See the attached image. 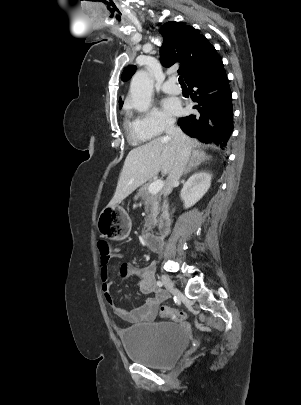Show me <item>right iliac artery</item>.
Returning a JSON list of instances; mask_svg holds the SVG:
<instances>
[{"label":"right iliac artery","instance_id":"right-iliac-artery-1","mask_svg":"<svg viewBox=\"0 0 301 405\" xmlns=\"http://www.w3.org/2000/svg\"><path fill=\"white\" fill-rule=\"evenodd\" d=\"M157 286L162 287V286H163V282L157 281Z\"/></svg>","mask_w":301,"mask_h":405}]
</instances>
